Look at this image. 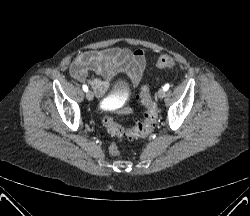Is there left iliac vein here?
Returning <instances> with one entry per match:
<instances>
[{
	"label": "left iliac vein",
	"mask_w": 250,
	"mask_h": 216,
	"mask_svg": "<svg viewBox=\"0 0 250 216\" xmlns=\"http://www.w3.org/2000/svg\"><path fill=\"white\" fill-rule=\"evenodd\" d=\"M166 95V92L164 89H160L157 93V96L160 98V99H163Z\"/></svg>",
	"instance_id": "left-iliac-vein-1"
}]
</instances>
